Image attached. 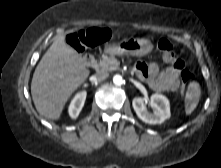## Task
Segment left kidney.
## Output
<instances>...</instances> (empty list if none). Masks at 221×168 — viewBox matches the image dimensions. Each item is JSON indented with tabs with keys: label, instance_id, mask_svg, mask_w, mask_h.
Here are the masks:
<instances>
[{
	"label": "left kidney",
	"instance_id": "obj_1",
	"mask_svg": "<svg viewBox=\"0 0 221 168\" xmlns=\"http://www.w3.org/2000/svg\"><path fill=\"white\" fill-rule=\"evenodd\" d=\"M132 106L137 116L148 124H161L170 117L169 100L162 94L156 93L151 96L153 113L147 111L141 97L134 98Z\"/></svg>",
	"mask_w": 221,
	"mask_h": 168
}]
</instances>
